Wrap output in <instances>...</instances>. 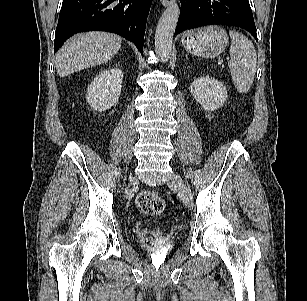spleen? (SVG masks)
Returning a JSON list of instances; mask_svg holds the SVG:
<instances>
[{
    "mask_svg": "<svg viewBox=\"0 0 307 301\" xmlns=\"http://www.w3.org/2000/svg\"><path fill=\"white\" fill-rule=\"evenodd\" d=\"M231 38L228 66L232 80L239 93H247L251 88L257 67V54L252 42L238 31H229Z\"/></svg>",
    "mask_w": 307,
    "mask_h": 301,
    "instance_id": "1",
    "label": "spleen"
}]
</instances>
